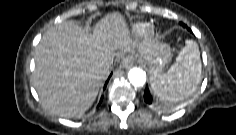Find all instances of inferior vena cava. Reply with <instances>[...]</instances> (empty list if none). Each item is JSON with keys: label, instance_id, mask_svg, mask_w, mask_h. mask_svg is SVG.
Segmentation results:
<instances>
[{"label": "inferior vena cava", "instance_id": "inferior-vena-cava-1", "mask_svg": "<svg viewBox=\"0 0 236 135\" xmlns=\"http://www.w3.org/2000/svg\"><path fill=\"white\" fill-rule=\"evenodd\" d=\"M112 64H113V60H109L106 62V67L110 68L112 66Z\"/></svg>", "mask_w": 236, "mask_h": 135}]
</instances>
